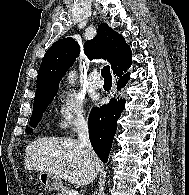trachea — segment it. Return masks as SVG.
Segmentation results:
<instances>
[{
  "label": "trachea",
  "instance_id": "3493384b",
  "mask_svg": "<svg viewBox=\"0 0 189 195\" xmlns=\"http://www.w3.org/2000/svg\"><path fill=\"white\" fill-rule=\"evenodd\" d=\"M101 75L104 78V81H112L109 65L103 67V69L101 70Z\"/></svg>",
  "mask_w": 189,
  "mask_h": 195
}]
</instances>
